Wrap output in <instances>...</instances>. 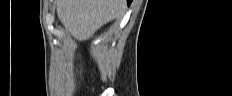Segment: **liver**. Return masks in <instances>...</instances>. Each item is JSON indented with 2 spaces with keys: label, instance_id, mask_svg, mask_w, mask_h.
<instances>
[{
  "label": "liver",
  "instance_id": "1",
  "mask_svg": "<svg viewBox=\"0 0 232 96\" xmlns=\"http://www.w3.org/2000/svg\"><path fill=\"white\" fill-rule=\"evenodd\" d=\"M126 0H58L57 14L76 40L91 37L104 24L120 17Z\"/></svg>",
  "mask_w": 232,
  "mask_h": 96
}]
</instances>
